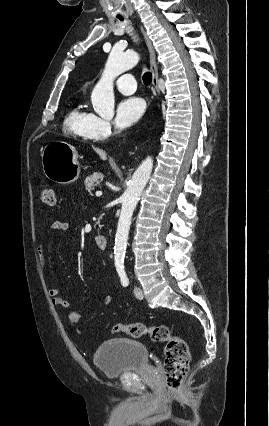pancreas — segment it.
I'll list each match as a JSON object with an SVG mask.
<instances>
[{
    "mask_svg": "<svg viewBox=\"0 0 269 426\" xmlns=\"http://www.w3.org/2000/svg\"><path fill=\"white\" fill-rule=\"evenodd\" d=\"M103 179V175L101 173H95L93 175L88 176L85 179L86 190L91 193L94 190V187Z\"/></svg>",
    "mask_w": 269,
    "mask_h": 426,
    "instance_id": "obj_1",
    "label": "pancreas"
}]
</instances>
